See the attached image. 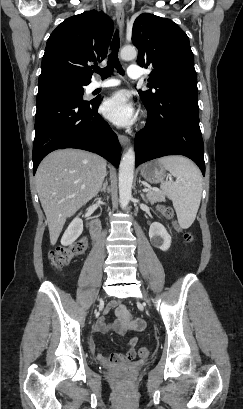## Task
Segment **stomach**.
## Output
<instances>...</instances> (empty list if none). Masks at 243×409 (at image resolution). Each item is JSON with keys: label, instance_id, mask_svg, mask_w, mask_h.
Masks as SVG:
<instances>
[{"label": "stomach", "instance_id": "obj_1", "mask_svg": "<svg viewBox=\"0 0 243 409\" xmlns=\"http://www.w3.org/2000/svg\"><path fill=\"white\" fill-rule=\"evenodd\" d=\"M141 175L147 182L157 184L163 182L166 176V169L158 160L150 161L142 167Z\"/></svg>", "mask_w": 243, "mask_h": 409}]
</instances>
